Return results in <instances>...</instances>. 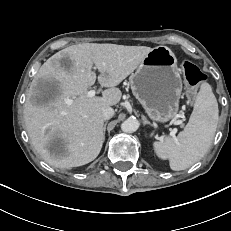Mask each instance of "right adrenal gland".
<instances>
[{"mask_svg": "<svg viewBox=\"0 0 231 231\" xmlns=\"http://www.w3.org/2000/svg\"><path fill=\"white\" fill-rule=\"evenodd\" d=\"M106 125H107V122H105V124H104V126H103V134H104V135H105Z\"/></svg>", "mask_w": 231, "mask_h": 231, "instance_id": "obj_1", "label": "right adrenal gland"}]
</instances>
